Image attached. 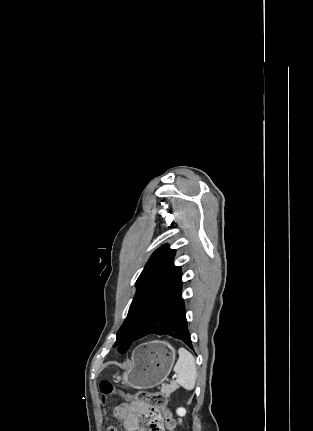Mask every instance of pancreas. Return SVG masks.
Instances as JSON below:
<instances>
[{
	"label": "pancreas",
	"mask_w": 313,
	"mask_h": 431,
	"mask_svg": "<svg viewBox=\"0 0 313 431\" xmlns=\"http://www.w3.org/2000/svg\"><path fill=\"white\" fill-rule=\"evenodd\" d=\"M177 388L178 386L175 383H172L170 385L162 386L160 392L164 397L168 398L170 394L174 392Z\"/></svg>",
	"instance_id": "pancreas-1"
}]
</instances>
